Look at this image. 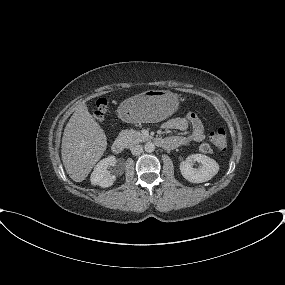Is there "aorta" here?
I'll list each match as a JSON object with an SVG mask.
<instances>
[{
    "label": "aorta",
    "instance_id": "aorta-1",
    "mask_svg": "<svg viewBox=\"0 0 285 285\" xmlns=\"http://www.w3.org/2000/svg\"><path fill=\"white\" fill-rule=\"evenodd\" d=\"M144 149L146 152L151 153L155 150V145L152 142H147L144 145Z\"/></svg>",
    "mask_w": 285,
    "mask_h": 285
}]
</instances>
